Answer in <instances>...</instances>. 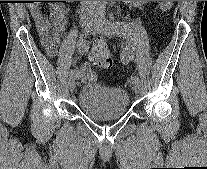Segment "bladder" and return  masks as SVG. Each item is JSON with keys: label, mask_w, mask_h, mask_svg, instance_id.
<instances>
[{"label": "bladder", "mask_w": 207, "mask_h": 169, "mask_svg": "<svg viewBox=\"0 0 207 169\" xmlns=\"http://www.w3.org/2000/svg\"><path fill=\"white\" fill-rule=\"evenodd\" d=\"M129 103V96L124 89L95 82L84 85L78 94L79 109L96 121L122 118L129 109Z\"/></svg>", "instance_id": "bladder-1"}]
</instances>
